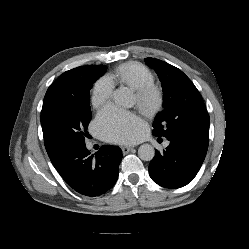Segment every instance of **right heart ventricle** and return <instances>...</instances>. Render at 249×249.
Wrapping results in <instances>:
<instances>
[{"label": "right heart ventricle", "instance_id": "right-heart-ventricle-1", "mask_svg": "<svg viewBox=\"0 0 249 249\" xmlns=\"http://www.w3.org/2000/svg\"><path fill=\"white\" fill-rule=\"evenodd\" d=\"M114 83L126 85L137 90L145 85L154 84L153 73L143 64L128 62L115 68L108 76Z\"/></svg>", "mask_w": 249, "mask_h": 249}]
</instances>
